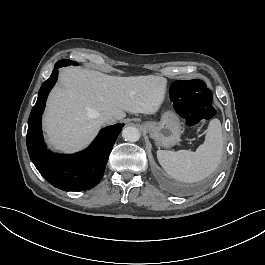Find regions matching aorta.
<instances>
[{
    "instance_id": "aorta-1",
    "label": "aorta",
    "mask_w": 265,
    "mask_h": 265,
    "mask_svg": "<svg viewBox=\"0 0 265 265\" xmlns=\"http://www.w3.org/2000/svg\"><path fill=\"white\" fill-rule=\"evenodd\" d=\"M122 137L126 141L136 142L140 138V133H139V130L136 127L128 126V127L123 129Z\"/></svg>"
}]
</instances>
